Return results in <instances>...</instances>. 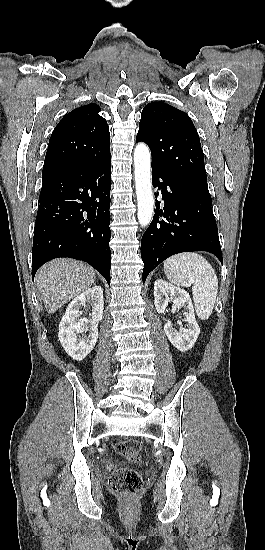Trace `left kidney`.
<instances>
[{
	"mask_svg": "<svg viewBox=\"0 0 265 550\" xmlns=\"http://www.w3.org/2000/svg\"><path fill=\"white\" fill-rule=\"evenodd\" d=\"M169 302L178 308H184L187 329L176 331L170 321L165 323L164 331L171 344L181 352L190 350L199 334L200 328L195 318L194 307L190 295L183 289L176 287L162 279L154 283V304L158 313H164Z\"/></svg>",
	"mask_w": 265,
	"mask_h": 550,
	"instance_id": "left-kidney-1",
	"label": "left kidney"
}]
</instances>
